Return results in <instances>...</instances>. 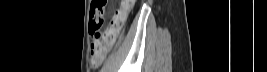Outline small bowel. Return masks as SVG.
<instances>
[{"instance_id": "c3829d8e", "label": "small bowel", "mask_w": 267, "mask_h": 72, "mask_svg": "<svg viewBox=\"0 0 267 72\" xmlns=\"http://www.w3.org/2000/svg\"><path fill=\"white\" fill-rule=\"evenodd\" d=\"M133 1L131 0H123L120 3L118 10L114 13L113 21L111 24H117L119 30L123 25L124 21L126 20L127 14L132 8ZM118 30V32H119Z\"/></svg>"}]
</instances>
